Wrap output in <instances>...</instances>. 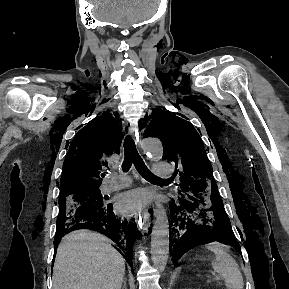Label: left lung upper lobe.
Instances as JSON below:
<instances>
[{
    "label": "left lung upper lobe",
    "instance_id": "left-lung-upper-lobe-1",
    "mask_svg": "<svg viewBox=\"0 0 289 289\" xmlns=\"http://www.w3.org/2000/svg\"><path fill=\"white\" fill-rule=\"evenodd\" d=\"M144 135L158 137L163 142L165 158L175 162L176 168L178 167L176 173L181 181L180 195L195 187L206 192L217 189L203 142L188 121L167 111L155 109L153 120Z\"/></svg>",
    "mask_w": 289,
    "mask_h": 289
}]
</instances>
